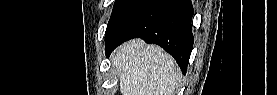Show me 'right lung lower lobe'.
I'll return each mask as SVG.
<instances>
[{
    "instance_id": "98d812e1",
    "label": "right lung lower lobe",
    "mask_w": 277,
    "mask_h": 95,
    "mask_svg": "<svg viewBox=\"0 0 277 95\" xmlns=\"http://www.w3.org/2000/svg\"><path fill=\"white\" fill-rule=\"evenodd\" d=\"M190 0H146L106 39L107 56L121 43L142 38L160 45L185 74L193 48Z\"/></svg>"
}]
</instances>
